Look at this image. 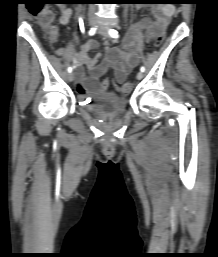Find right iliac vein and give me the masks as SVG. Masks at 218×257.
<instances>
[{"mask_svg":"<svg viewBox=\"0 0 218 257\" xmlns=\"http://www.w3.org/2000/svg\"><path fill=\"white\" fill-rule=\"evenodd\" d=\"M88 22H89V25L90 26H94L97 22L96 18L95 17H90L88 19ZM67 79L69 82H72L74 80V74L73 73H69L68 76H67Z\"/></svg>","mask_w":218,"mask_h":257,"instance_id":"obj_1","label":"right iliac vein"}]
</instances>
